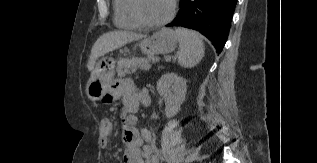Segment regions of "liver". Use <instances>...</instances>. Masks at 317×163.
Instances as JSON below:
<instances>
[{
	"label": "liver",
	"instance_id": "1",
	"mask_svg": "<svg viewBox=\"0 0 317 163\" xmlns=\"http://www.w3.org/2000/svg\"><path fill=\"white\" fill-rule=\"evenodd\" d=\"M144 37L145 36L141 34L125 31H112L103 34L97 39L91 49V54L87 63L88 70H94L96 61L99 57L107 54L110 51L121 48L128 43L140 40Z\"/></svg>",
	"mask_w": 317,
	"mask_h": 163
}]
</instances>
